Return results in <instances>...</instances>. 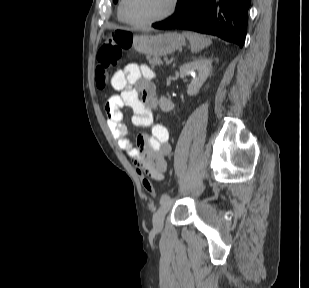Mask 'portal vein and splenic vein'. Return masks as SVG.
<instances>
[{
    "label": "portal vein and splenic vein",
    "instance_id": "18ae733b",
    "mask_svg": "<svg viewBox=\"0 0 309 288\" xmlns=\"http://www.w3.org/2000/svg\"><path fill=\"white\" fill-rule=\"evenodd\" d=\"M164 61L167 62L168 61V57H164Z\"/></svg>",
    "mask_w": 309,
    "mask_h": 288
}]
</instances>
